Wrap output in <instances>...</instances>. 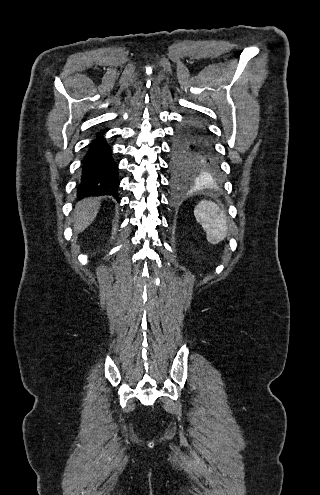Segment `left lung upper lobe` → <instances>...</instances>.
Masks as SVG:
<instances>
[{
    "label": "left lung upper lobe",
    "instance_id": "left-lung-upper-lobe-1",
    "mask_svg": "<svg viewBox=\"0 0 320 495\" xmlns=\"http://www.w3.org/2000/svg\"><path fill=\"white\" fill-rule=\"evenodd\" d=\"M171 168L175 174L207 173L208 167L202 155L195 149L193 138L186 125L176 132L172 146Z\"/></svg>",
    "mask_w": 320,
    "mask_h": 495
}]
</instances>
